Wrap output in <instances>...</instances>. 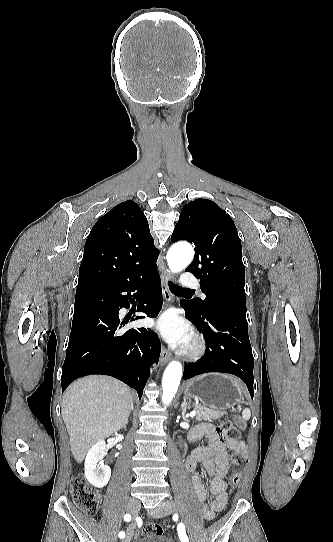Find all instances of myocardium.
Segmentation results:
<instances>
[{
  "instance_id": "f54148a6",
  "label": "myocardium",
  "mask_w": 333,
  "mask_h": 542,
  "mask_svg": "<svg viewBox=\"0 0 333 542\" xmlns=\"http://www.w3.org/2000/svg\"><path fill=\"white\" fill-rule=\"evenodd\" d=\"M205 352L202 339L199 335L194 334L188 344L180 351L179 355L184 359L195 361L200 359Z\"/></svg>"
}]
</instances>
